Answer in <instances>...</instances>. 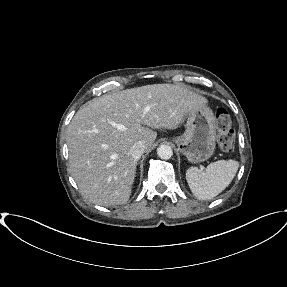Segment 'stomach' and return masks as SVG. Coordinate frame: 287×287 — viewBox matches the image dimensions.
I'll return each mask as SVG.
<instances>
[{
  "mask_svg": "<svg viewBox=\"0 0 287 287\" xmlns=\"http://www.w3.org/2000/svg\"><path fill=\"white\" fill-rule=\"evenodd\" d=\"M216 129V117L205 105L188 115L184 134L173 141L188 161L200 163L209 159L215 151Z\"/></svg>",
  "mask_w": 287,
  "mask_h": 287,
  "instance_id": "0dacf381",
  "label": "stomach"
}]
</instances>
